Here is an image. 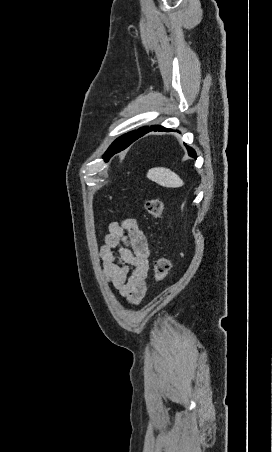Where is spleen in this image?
I'll use <instances>...</instances> for the list:
<instances>
[{
    "label": "spleen",
    "instance_id": "1",
    "mask_svg": "<svg viewBox=\"0 0 272 452\" xmlns=\"http://www.w3.org/2000/svg\"><path fill=\"white\" fill-rule=\"evenodd\" d=\"M147 178L163 187L177 188L183 186V180L168 168L155 167L148 171Z\"/></svg>",
    "mask_w": 272,
    "mask_h": 452
}]
</instances>
